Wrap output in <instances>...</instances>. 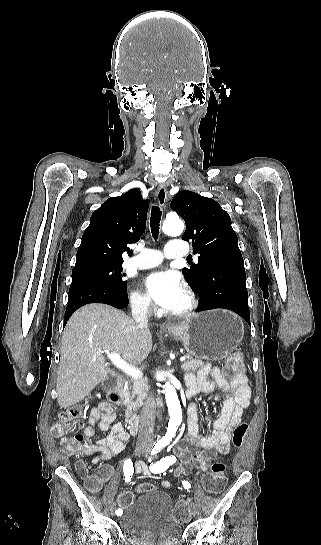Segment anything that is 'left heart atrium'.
I'll return each mask as SVG.
<instances>
[{"label":"left heart atrium","instance_id":"39dd6f15","mask_svg":"<svg viewBox=\"0 0 321 545\" xmlns=\"http://www.w3.org/2000/svg\"><path fill=\"white\" fill-rule=\"evenodd\" d=\"M144 287L148 296L157 308L164 313L172 312L180 294L184 290V282L175 271H155L144 279Z\"/></svg>","mask_w":321,"mask_h":545}]
</instances>
